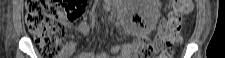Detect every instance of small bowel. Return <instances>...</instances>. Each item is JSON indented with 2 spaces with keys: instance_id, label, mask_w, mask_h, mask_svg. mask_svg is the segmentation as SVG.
I'll list each match as a JSON object with an SVG mask.
<instances>
[{
  "instance_id": "obj_1",
  "label": "small bowel",
  "mask_w": 225,
  "mask_h": 58,
  "mask_svg": "<svg viewBox=\"0 0 225 58\" xmlns=\"http://www.w3.org/2000/svg\"><path fill=\"white\" fill-rule=\"evenodd\" d=\"M158 4V2H155ZM64 25H71V22L62 18ZM74 29L81 35H87L89 33V25L85 21L79 22L74 26ZM131 34L136 36V39L133 43H116L111 46L110 53L111 55L120 54L119 58H135L136 57V48L147 42V31H141L139 29L131 27L129 29ZM76 44L75 42H69L63 49L62 54L59 58H68L75 50ZM111 55L106 53L95 54L93 52L82 53L78 56V58H111Z\"/></svg>"
}]
</instances>
